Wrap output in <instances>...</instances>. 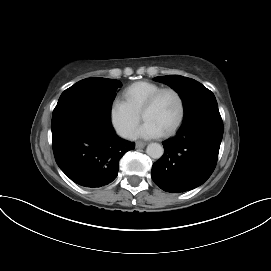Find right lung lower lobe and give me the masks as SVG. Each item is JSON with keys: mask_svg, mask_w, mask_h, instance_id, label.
Returning a JSON list of instances; mask_svg holds the SVG:
<instances>
[{"mask_svg": "<svg viewBox=\"0 0 271 271\" xmlns=\"http://www.w3.org/2000/svg\"><path fill=\"white\" fill-rule=\"evenodd\" d=\"M52 146L60 169L84 187H101L117 176L119 160L135 144L119 138L103 112L63 119L53 125Z\"/></svg>", "mask_w": 271, "mask_h": 271, "instance_id": "right-lung-lower-lobe-1", "label": "right lung lower lobe"}]
</instances>
